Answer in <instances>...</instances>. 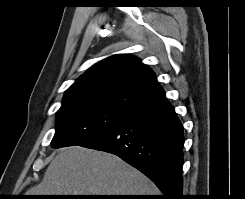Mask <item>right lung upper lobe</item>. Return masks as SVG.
I'll return each mask as SVG.
<instances>
[{"label":"right lung upper lobe","mask_w":245,"mask_h":199,"mask_svg":"<svg viewBox=\"0 0 245 199\" xmlns=\"http://www.w3.org/2000/svg\"><path fill=\"white\" fill-rule=\"evenodd\" d=\"M154 73L138 58L113 55L93 65L65 92L60 109L97 105L131 113L165 100Z\"/></svg>","instance_id":"right-lung-upper-lobe-1"}]
</instances>
